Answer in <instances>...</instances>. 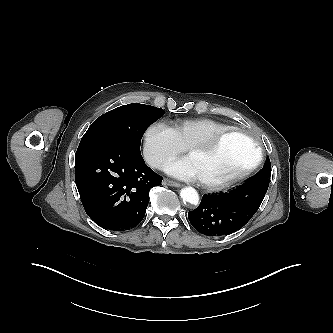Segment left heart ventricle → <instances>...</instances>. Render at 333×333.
Wrapping results in <instances>:
<instances>
[{
  "label": "left heart ventricle",
  "instance_id": "b2bd125f",
  "mask_svg": "<svg viewBox=\"0 0 333 333\" xmlns=\"http://www.w3.org/2000/svg\"><path fill=\"white\" fill-rule=\"evenodd\" d=\"M256 155L251 141L240 134L225 137L211 151H192L189 154L199 179L206 181L225 180L249 166Z\"/></svg>",
  "mask_w": 333,
  "mask_h": 333
}]
</instances>
